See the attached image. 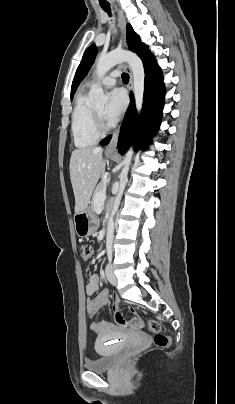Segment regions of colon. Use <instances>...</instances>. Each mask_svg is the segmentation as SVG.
<instances>
[{
	"label": "colon",
	"instance_id": "obj_1",
	"mask_svg": "<svg viewBox=\"0 0 235 404\" xmlns=\"http://www.w3.org/2000/svg\"><path fill=\"white\" fill-rule=\"evenodd\" d=\"M93 254V249L90 245L83 244L81 246V256L83 260L88 261ZM115 320L119 325L126 326L131 325L136 328H142L143 322L138 317H133L126 320L120 311L115 313ZM161 325L156 320H151L147 325V331L153 334L154 344L158 348H167L170 345V338L167 335L160 333Z\"/></svg>",
	"mask_w": 235,
	"mask_h": 404
}]
</instances>
